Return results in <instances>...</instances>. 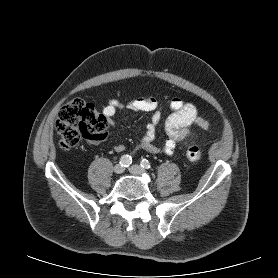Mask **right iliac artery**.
Instances as JSON below:
<instances>
[{
  "label": "right iliac artery",
  "mask_w": 278,
  "mask_h": 278,
  "mask_svg": "<svg viewBox=\"0 0 278 278\" xmlns=\"http://www.w3.org/2000/svg\"><path fill=\"white\" fill-rule=\"evenodd\" d=\"M119 163L122 167H128L132 163V158L129 155H123Z\"/></svg>",
  "instance_id": "1"
}]
</instances>
